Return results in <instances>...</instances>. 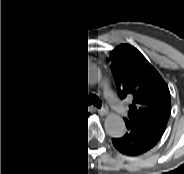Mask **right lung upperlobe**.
<instances>
[{
  "instance_id": "obj_1",
  "label": "right lung upper lobe",
  "mask_w": 184,
  "mask_h": 174,
  "mask_svg": "<svg viewBox=\"0 0 184 174\" xmlns=\"http://www.w3.org/2000/svg\"><path fill=\"white\" fill-rule=\"evenodd\" d=\"M68 65L61 54L45 56L20 93L19 118L34 142L59 134L83 116L73 105L76 92L67 82Z\"/></svg>"
}]
</instances>
